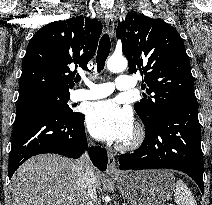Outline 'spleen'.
Segmentation results:
<instances>
[{
    "instance_id": "1",
    "label": "spleen",
    "mask_w": 212,
    "mask_h": 205,
    "mask_svg": "<svg viewBox=\"0 0 212 205\" xmlns=\"http://www.w3.org/2000/svg\"><path fill=\"white\" fill-rule=\"evenodd\" d=\"M174 199L177 205H197L191 191L180 179L176 182Z\"/></svg>"
}]
</instances>
